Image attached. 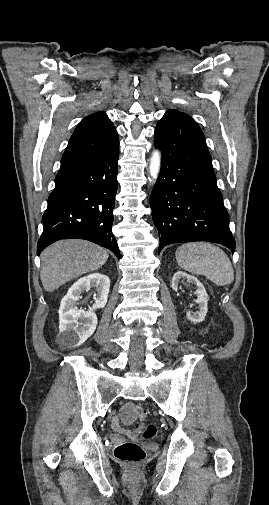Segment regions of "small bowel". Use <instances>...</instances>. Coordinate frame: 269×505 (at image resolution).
Segmentation results:
<instances>
[{
  "instance_id": "small-bowel-1",
  "label": "small bowel",
  "mask_w": 269,
  "mask_h": 505,
  "mask_svg": "<svg viewBox=\"0 0 269 505\" xmlns=\"http://www.w3.org/2000/svg\"><path fill=\"white\" fill-rule=\"evenodd\" d=\"M135 406L131 402H127L123 405L121 409L120 416H114L112 418V427L113 429L123 435L133 437L139 433L138 429H128L125 425L132 423L135 418Z\"/></svg>"
}]
</instances>
